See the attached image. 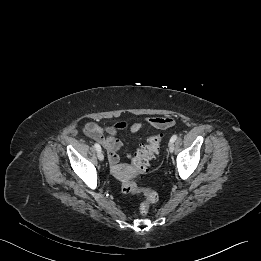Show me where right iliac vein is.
<instances>
[{"mask_svg":"<svg viewBox=\"0 0 261 261\" xmlns=\"http://www.w3.org/2000/svg\"><path fill=\"white\" fill-rule=\"evenodd\" d=\"M97 156H98V159H99L100 161H103V160H104V155H103L102 151H99L98 154H97Z\"/></svg>","mask_w":261,"mask_h":261,"instance_id":"1","label":"right iliac vein"}]
</instances>
